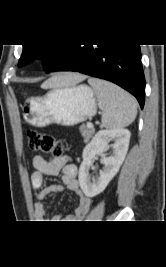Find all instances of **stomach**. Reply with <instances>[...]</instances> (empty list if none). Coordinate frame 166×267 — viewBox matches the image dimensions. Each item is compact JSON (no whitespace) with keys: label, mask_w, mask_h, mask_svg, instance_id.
<instances>
[{"label":"stomach","mask_w":166,"mask_h":267,"mask_svg":"<svg viewBox=\"0 0 166 267\" xmlns=\"http://www.w3.org/2000/svg\"><path fill=\"white\" fill-rule=\"evenodd\" d=\"M97 112L94 91L87 85L54 87L42 97H32L23 106L26 121L44 127L52 123L73 126Z\"/></svg>","instance_id":"1"}]
</instances>
